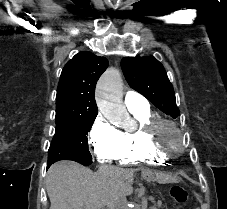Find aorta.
<instances>
[{"label": "aorta", "mask_w": 227, "mask_h": 209, "mask_svg": "<svg viewBox=\"0 0 227 209\" xmlns=\"http://www.w3.org/2000/svg\"><path fill=\"white\" fill-rule=\"evenodd\" d=\"M96 101L99 110L110 121L128 116L122 101V78L117 69H108L99 79ZM135 209H140V206Z\"/></svg>", "instance_id": "obj_1"}]
</instances>
